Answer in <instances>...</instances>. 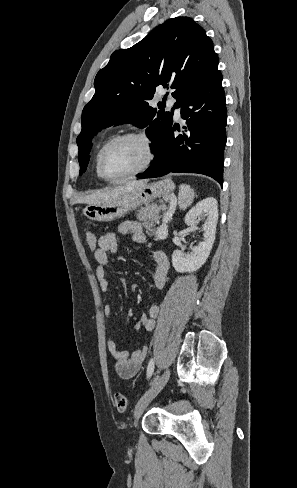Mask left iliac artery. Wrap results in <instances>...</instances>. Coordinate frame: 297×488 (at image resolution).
Wrapping results in <instances>:
<instances>
[{
    "mask_svg": "<svg viewBox=\"0 0 297 488\" xmlns=\"http://www.w3.org/2000/svg\"><path fill=\"white\" fill-rule=\"evenodd\" d=\"M154 371V359L151 358L149 363H148V367H147V377H151L152 373ZM158 375L155 377L154 381L158 379Z\"/></svg>",
    "mask_w": 297,
    "mask_h": 488,
    "instance_id": "44dca946",
    "label": "left iliac artery"
}]
</instances>
